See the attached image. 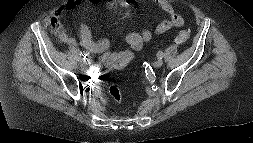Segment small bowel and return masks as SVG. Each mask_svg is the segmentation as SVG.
I'll list each match as a JSON object with an SVG mask.
<instances>
[{
  "mask_svg": "<svg viewBox=\"0 0 253 143\" xmlns=\"http://www.w3.org/2000/svg\"><path fill=\"white\" fill-rule=\"evenodd\" d=\"M141 0H108L107 8L114 9L117 6H131ZM156 4L168 15V18L160 22L154 32L149 29L143 28L139 32L130 31L126 35V42L129 49L120 51L118 53H108L107 57H113L117 60L125 59L128 62L133 58L134 52L139 50L143 44L149 42L153 35H161L165 32L181 27L184 24L183 17L178 14L169 0H154ZM103 2V0H68L65 2L55 13V18L59 19L65 12L70 11L81 5H95ZM59 38L64 43L74 45L76 39L68 35L65 31H60ZM79 38L81 44L91 53H99L106 50L108 42L105 39L95 40L91 29L83 24L79 27ZM119 67V66H116Z\"/></svg>",
  "mask_w": 253,
  "mask_h": 143,
  "instance_id": "1",
  "label": "small bowel"
}]
</instances>
